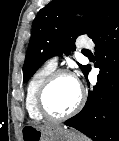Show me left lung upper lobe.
Instances as JSON below:
<instances>
[{
    "mask_svg": "<svg viewBox=\"0 0 119 141\" xmlns=\"http://www.w3.org/2000/svg\"><path fill=\"white\" fill-rule=\"evenodd\" d=\"M119 9L118 0H53L32 24V35L23 67L24 82L50 57L69 54L79 35L93 34ZM73 13L87 18H73ZM85 74L89 65H80Z\"/></svg>",
    "mask_w": 119,
    "mask_h": 141,
    "instance_id": "left-lung-upper-lobe-1",
    "label": "left lung upper lobe"
}]
</instances>
